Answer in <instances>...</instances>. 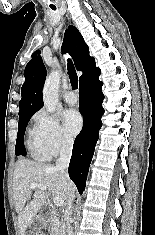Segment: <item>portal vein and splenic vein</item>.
<instances>
[{
  "label": "portal vein and splenic vein",
  "instance_id": "portal-vein-and-splenic-vein-1",
  "mask_svg": "<svg viewBox=\"0 0 155 235\" xmlns=\"http://www.w3.org/2000/svg\"><path fill=\"white\" fill-rule=\"evenodd\" d=\"M30 188H40V189H42V190H46L47 189V187L46 186H44V185H42V184H36V183H31L30 184ZM53 202H54V204L56 205V206H58V207H61V206H63V204H64V200L61 198V197H59V196H55L54 198H53Z\"/></svg>",
  "mask_w": 155,
  "mask_h": 235
}]
</instances>
